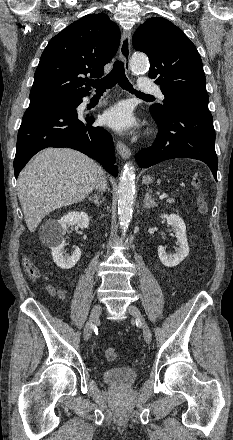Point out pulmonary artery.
Listing matches in <instances>:
<instances>
[{
	"instance_id": "pulmonary-artery-1",
	"label": "pulmonary artery",
	"mask_w": 233,
	"mask_h": 440,
	"mask_svg": "<svg viewBox=\"0 0 233 440\" xmlns=\"http://www.w3.org/2000/svg\"><path fill=\"white\" fill-rule=\"evenodd\" d=\"M139 89L143 92L147 93H155L157 94L161 99H164V95L159 89V87L149 81H146L145 77H141L138 85Z\"/></svg>"
}]
</instances>
